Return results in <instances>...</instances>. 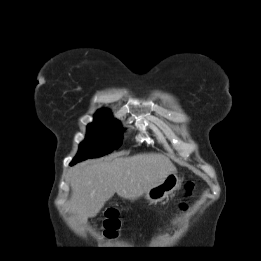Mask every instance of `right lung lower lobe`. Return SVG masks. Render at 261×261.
<instances>
[{
  "label": "right lung lower lobe",
  "instance_id": "obj_1",
  "mask_svg": "<svg viewBox=\"0 0 261 261\" xmlns=\"http://www.w3.org/2000/svg\"><path fill=\"white\" fill-rule=\"evenodd\" d=\"M74 163H76V162H75V161H73V162L71 163V165H72V164H74Z\"/></svg>",
  "mask_w": 261,
  "mask_h": 261
}]
</instances>
